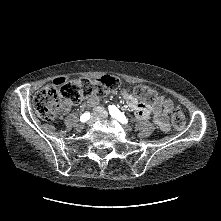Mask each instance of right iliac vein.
I'll return each instance as SVG.
<instances>
[{
  "label": "right iliac vein",
  "mask_w": 221,
  "mask_h": 221,
  "mask_svg": "<svg viewBox=\"0 0 221 221\" xmlns=\"http://www.w3.org/2000/svg\"><path fill=\"white\" fill-rule=\"evenodd\" d=\"M83 128H84V125H83V124H78V125L76 126V129H77L78 131H81Z\"/></svg>",
  "instance_id": "right-iliac-vein-1"
}]
</instances>
